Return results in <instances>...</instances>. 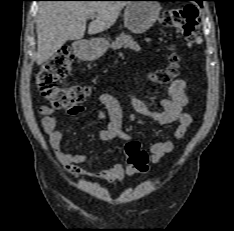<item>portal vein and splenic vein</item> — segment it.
I'll use <instances>...</instances> for the list:
<instances>
[{
	"label": "portal vein and splenic vein",
	"mask_w": 234,
	"mask_h": 231,
	"mask_svg": "<svg viewBox=\"0 0 234 231\" xmlns=\"http://www.w3.org/2000/svg\"><path fill=\"white\" fill-rule=\"evenodd\" d=\"M89 17H90V18H94V17H95V14H91Z\"/></svg>",
	"instance_id": "obj_1"
}]
</instances>
